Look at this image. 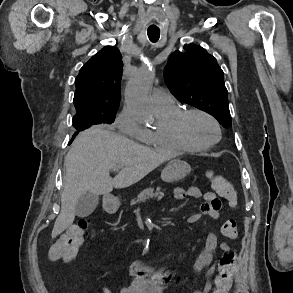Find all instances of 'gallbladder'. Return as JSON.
Returning a JSON list of instances; mask_svg holds the SVG:
<instances>
[{"instance_id":"bac80fb5","label":"gallbladder","mask_w":293,"mask_h":293,"mask_svg":"<svg viewBox=\"0 0 293 293\" xmlns=\"http://www.w3.org/2000/svg\"><path fill=\"white\" fill-rule=\"evenodd\" d=\"M99 196L87 192L83 194L77 201L75 212L78 217L89 216L98 206Z\"/></svg>"}]
</instances>
